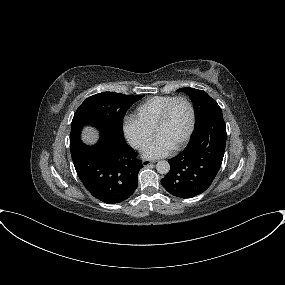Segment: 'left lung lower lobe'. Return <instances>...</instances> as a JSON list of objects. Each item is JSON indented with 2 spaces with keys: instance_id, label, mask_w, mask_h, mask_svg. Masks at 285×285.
<instances>
[{
  "instance_id": "obj_1",
  "label": "left lung lower lobe",
  "mask_w": 285,
  "mask_h": 285,
  "mask_svg": "<svg viewBox=\"0 0 285 285\" xmlns=\"http://www.w3.org/2000/svg\"><path fill=\"white\" fill-rule=\"evenodd\" d=\"M225 144L224 119L222 115H214L192 133L179 155L168 160L170 171L161 179V184L176 197L191 198L201 194L221 167Z\"/></svg>"
}]
</instances>
